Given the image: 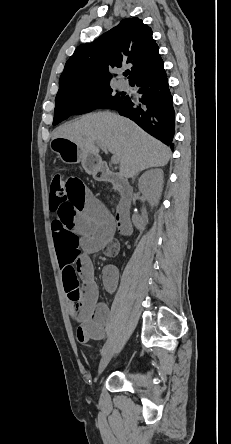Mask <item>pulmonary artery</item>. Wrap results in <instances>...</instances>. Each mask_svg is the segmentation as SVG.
I'll use <instances>...</instances> for the list:
<instances>
[{
  "mask_svg": "<svg viewBox=\"0 0 231 444\" xmlns=\"http://www.w3.org/2000/svg\"><path fill=\"white\" fill-rule=\"evenodd\" d=\"M118 87L121 89H128V82L126 80L120 79L118 81Z\"/></svg>",
  "mask_w": 231,
  "mask_h": 444,
  "instance_id": "obj_1",
  "label": "pulmonary artery"
}]
</instances>
